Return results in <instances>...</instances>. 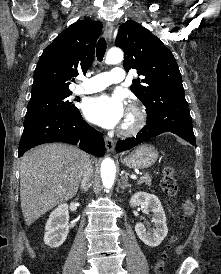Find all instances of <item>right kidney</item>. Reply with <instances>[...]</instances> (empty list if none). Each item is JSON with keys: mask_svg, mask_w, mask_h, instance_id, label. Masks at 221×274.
<instances>
[{"mask_svg": "<svg viewBox=\"0 0 221 274\" xmlns=\"http://www.w3.org/2000/svg\"><path fill=\"white\" fill-rule=\"evenodd\" d=\"M44 242L50 248L60 247L69 232L68 205H59L49 216L45 226Z\"/></svg>", "mask_w": 221, "mask_h": 274, "instance_id": "ca27d5eb", "label": "right kidney"}]
</instances>
